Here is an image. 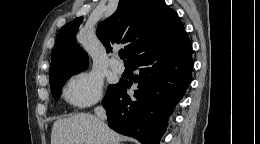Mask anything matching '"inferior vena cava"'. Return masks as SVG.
<instances>
[{"mask_svg": "<svg viewBox=\"0 0 260 144\" xmlns=\"http://www.w3.org/2000/svg\"><path fill=\"white\" fill-rule=\"evenodd\" d=\"M94 111L99 121V126H104V121L107 119L105 109L102 106H97Z\"/></svg>", "mask_w": 260, "mask_h": 144, "instance_id": "602c4592", "label": "inferior vena cava"}]
</instances>
